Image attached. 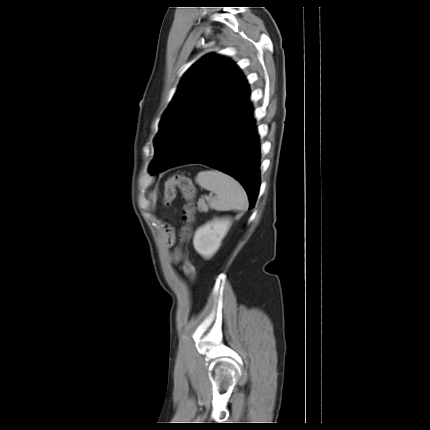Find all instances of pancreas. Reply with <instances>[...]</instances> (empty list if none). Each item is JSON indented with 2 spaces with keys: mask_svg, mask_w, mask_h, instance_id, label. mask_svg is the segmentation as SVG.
Returning <instances> with one entry per match:
<instances>
[{
  "mask_svg": "<svg viewBox=\"0 0 430 430\" xmlns=\"http://www.w3.org/2000/svg\"><path fill=\"white\" fill-rule=\"evenodd\" d=\"M209 198H208V202H209ZM198 206V210L199 212H208L209 206L205 203V201L203 199H200L197 203Z\"/></svg>",
  "mask_w": 430,
  "mask_h": 430,
  "instance_id": "cf45deb5",
  "label": "pancreas"
}]
</instances>
